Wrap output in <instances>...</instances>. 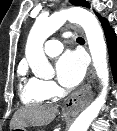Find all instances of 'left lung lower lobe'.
I'll use <instances>...</instances> for the list:
<instances>
[{"label":"left lung lower lobe","instance_id":"0a47b994","mask_svg":"<svg viewBox=\"0 0 117 131\" xmlns=\"http://www.w3.org/2000/svg\"><path fill=\"white\" fill-rule=\"evenodd\" d=\"M98 17L104 28V32L107 40V46L109 50L112 73L114 76V80H116L117 79V38L115 36L114 30L109 26L107 20L105 18H101L99 15Z\"/></svg>","mask_w":117,"mask_h":131}]
</instances>
